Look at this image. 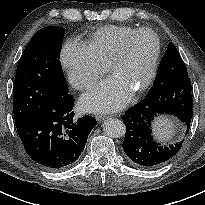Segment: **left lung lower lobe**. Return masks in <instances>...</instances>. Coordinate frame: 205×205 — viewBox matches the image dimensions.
<instances>
[{"mask_svg":"<svg viewBox=\"0 0 205 205\" xmlns=\"http://www.w3.org/2000/svg\"><path fill=\"white\" fill-rule=\"evenodd\" d=\"M191 91L188 76L154 85L141 102L121 117L126 124L123 149L134 165L154 168L178 153L183 141L167 147L160 146L152 138L151 124L156 115H173L185 123L187 134L192 119Z\"/></svg>","mask_w":205,"mask_h":205,"instance_id":"0a47b994","label":"left lung lower lobe"}]
</instances>
